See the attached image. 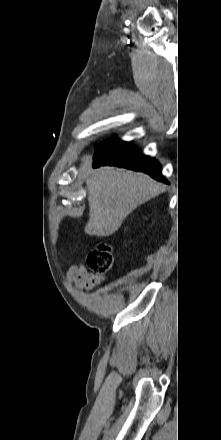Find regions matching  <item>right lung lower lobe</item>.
I'll list each match as a JSON object with an SVG mask.
<instances>
[{"label":"right lung lower lobe","instance_id":"right-lung-lower-lobe-1","mask_svg":"<svg viewBox=\"0 0 221 440\" xmlns=\"http://www.w3.org/2000/svg\"><path fill=\"white\" fill-rule=\"evenodd\" d=\"M104 165L144 172L158 181L168 183L161 174L157 160L144 156L137 146L118 140L116 136L100 143L95 149L93 167Z\"/></svg>","mask_w":221,"mask_h":440}]
</instances>
